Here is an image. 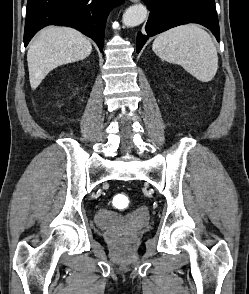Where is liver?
I'll use <instances>...</instances> for the list:
<instances>
[{"instance_id": "6515ba94", "label": "liver", "mask_w": 249, "mask_h": 294, "mask_svg": "<svg viewBox=\"0 0 249 294\" xmlns=\"http://www.w3.org/2000/svg\"><path fill=\"white\" fill-rule=\"evenodd\" d=\"M91 51L90 41L75 29L47 27L41 30L31 42L27 53L32 90H35L53 69L85 59Z\"/></svg>"}]
</instances>
